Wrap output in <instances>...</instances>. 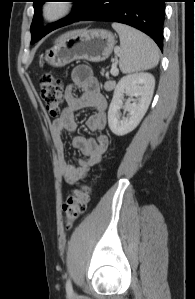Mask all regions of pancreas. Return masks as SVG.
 <instances>
[{
	"instance_id": "pancreas-1",
	"label": "pancreas",
	"mask_w": 195,
	"mask_h": 299,
	"mask_svg": "<svg viewBox=\"0 0 195 299\" xmlns=\"http://www.w3.org/2000/svg\"><path fill=\"white\" fill-rule=\"evenodd\" d=\"M115 88V81H107L104 85L106 91H111Z\"/></svg>"
}]
</instances>
